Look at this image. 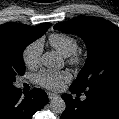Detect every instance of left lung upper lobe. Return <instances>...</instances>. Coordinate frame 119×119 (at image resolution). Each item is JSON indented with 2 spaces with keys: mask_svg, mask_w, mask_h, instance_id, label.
Segmentation results:
<instances>
[{
  "mask_svg": "<svg viewBox=\"0 0 119 119\" xmlns=\"http://www.w3.org/2000/svg\"><path fill=\"white\" fill-rule=\"evenodd\" d=\"M54 29L77 34L87 45L88 58L72 83L80 91L91 88L119 90V28L95 17L80 16Z\"/></svg>",
  "mask_w": 119,
  "mask_h": 119,
  "instance_id": "obj_1",
  "label": "left lung upper lobe"
}]
</instances>
